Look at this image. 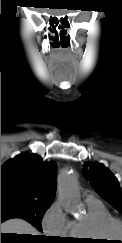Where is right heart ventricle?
Wrapping results in <instances>:
<instances>
[{
    "label": "right heart ventricle",
    "instance_id": "right-heart-ventricle-1",
    "mask_svg": "<svg viewBox=\"0 0 122 243\" xmlns=\"http://www.w3.org/2000/svg\"><path fill=\"white\" fill-rule=\"evenodd\" d=\"M87 218L70 221L68 236L78 240L103 239L99 235V224L112 218L111 213L99 200H86Z\"/></svg>",
    "mask_w": 122,
    "mask_h": 243
}]
</instances>
